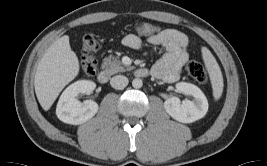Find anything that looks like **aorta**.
I'll return each mask as SVG.
<instances>
[{
  "label": "aorta",
  "instance_id": "1",
  "mask_svg": "<svg viewBox=\"0 0 267 166\" xmlns=\"http://www.w3.org/2000/svg\"><path fill=\"white\" fill-rule=\"evenodd\" d=\"M143 85V82L140 78H135L133 81H132V86L134 88H141Z\"/></svg>",
  "mask_w": 267,
  "mask_h": 166
}]
</instances>
